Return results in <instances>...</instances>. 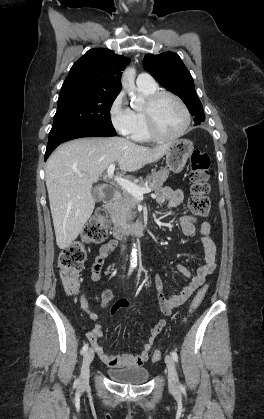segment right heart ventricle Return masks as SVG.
I'll return each instance as SVG.
<instances>
[{"label": "right heart ventricle", "mask_w": 264, "mask_h": 419, "mask_svg": "<svg viewBox=\"0 0 264 419\" xmlns=\"http://www.w3.org/2000/svg\"><path fill=\"white\" fill-rule=\"evenodd\" d=\"M139 91L145 98H148L154 92L157 91V87L154 88H141ZM134 116V127L131 133V138L138 142H148L152 140L147 128L146 117L144 113V108H135L132 110Z\"/></svg>", "instance_id": "right-heart-ventricle-1"}]
</instances>
